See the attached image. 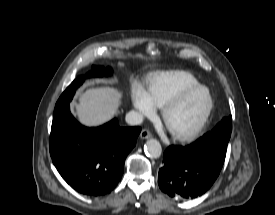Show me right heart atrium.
<instances>
[{"label":"right heart atrium","mask_w":275,"mask_h":215,"mask_svg":"<svg viewBox=\"0 0 275 215\" xmlns=\"http://www.w3.org/2000/svg\"><path fill=\"white\" fill-rule=\"evenodd\" d=\"M132 101L140 116L152 117L155 114V104L152 102L148 92L138 84L133 86Z\"/></svg>","instance_id":"1"}]
</instances>
